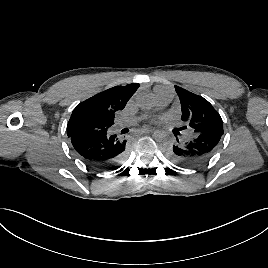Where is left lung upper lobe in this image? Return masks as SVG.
I'll list each match as a JSON object with an SVG mask.
<instances>
[{
	"label": "left lung upper lobe",
	"instance_id": "left-lung-upper-lobe-1",
	"mask_svg": "<svg viewBox=\"0 0 268 268\" xmlns=\"http://www.w3.org/2000/svg\"><path fill=\"white\" fill-rule=\"evenodd\" d=\"M175 90L181 102V119L191 129L193 135L224 133L223 121L219 113L206 99L178 86H175Z\"/></svg>",
	"mask_w": 268,
	"mask_h": 268
}]
</instances>
